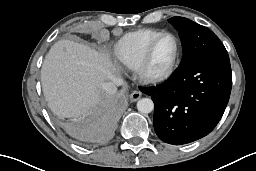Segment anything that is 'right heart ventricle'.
<instances>
[{"label":"right heart ventricle","instance_id":"e07e8e85","mask_svg":"<svg viewBox=\"0 0 256 171\" xmlns=\"http://www.w3.org/2000/svg\"><path fill=\"white\" fill-rule=\"evenodd\" d=\"M162 31L140 29L125 34L114 47L115 58L124 66L135 69L149 42Z\"/></svg>","mask_w":256,"mask_h":171}]
</instances>
